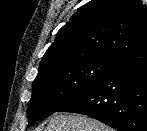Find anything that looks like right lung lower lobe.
Segmentation results:
<instances>
[{"label":"right lung lower lobe","mask_w":147,"mask_h":131,"mask_svg":"<svg viewBox=\"0 0 147 131\" xmlns=\"http://www.w3.org/2000/svg\"><path fill=\"white\" fill-rule=\"evenodd\" d=\"M58 112L87 115L118 131H147V44Z\"/></svg>","instance_id":"right-lung-lower-lobe-1"}]
</instances>
